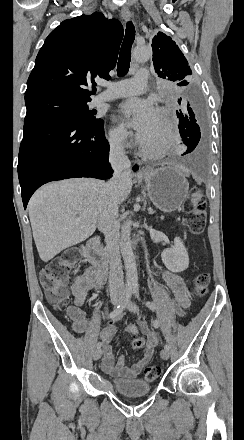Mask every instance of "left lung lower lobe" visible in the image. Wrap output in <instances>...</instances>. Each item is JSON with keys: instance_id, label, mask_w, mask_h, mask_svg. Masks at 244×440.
Segmentation results:
<instances>
[{"instance_id": "obj_1", "label": "left lung lower lobe", "mask_w": 244, "mask_h": 440, "mask_svg": "<svg viewBox=\"0 0 244 440\" xmlns=\"http://www.w3.org/2000/svg\"><path fill=\"white\" fill-rule=\"evenodd\" d=\"M178 103L182 107L180 112L176 111L179 118V130L184 144L188 147L186 153H190L196 148L201 137L199 127L201 118L200 104L195 92L191 89L178 99Z\"/></svg>"}]
</instances>
